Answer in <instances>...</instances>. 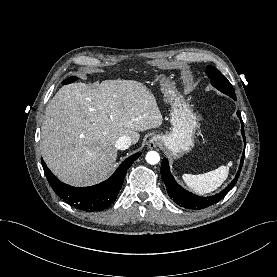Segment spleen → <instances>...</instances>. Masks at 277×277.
<instances>
[{
    "label": "spleen",
    "instance_id": "3e777b00",
    "mask_svg": "<svg viewBox=\"0 0 277 277\" xmlns=\"http://www.w3.org/2000/svg\"><path fill=\"white\" fill-rule=\"evenodd\" d=\"M232 162L226 166L209 171L204 174L192 175L184 174L182 176L186 185L198 194H208L220 187L227 179Z\"/></svg>",
    "mask_w": 277,
    "mask_h": 277
}]
</instances>
